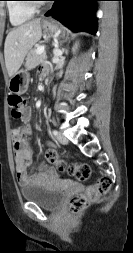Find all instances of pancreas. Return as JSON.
<instances>
[{"label": "pancreas", "mask_w": 133, "mask_h": 253, "mask_svg": "<svg viewBox=\"0 0 133 253\" xmlns=\"http://www.w3.org/2000/svg\"><path fill=\"white\" fill-rule=\"evenodd\" d=\"M47 58L46 53L37 54V49L34 48L29 51L26 58V68L28 70L34 69L37 65L42 63Z\"/></svg>", "instance_id": "obj_1"}]
</instances>
